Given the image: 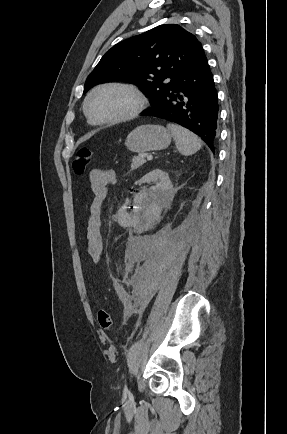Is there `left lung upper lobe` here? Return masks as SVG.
<instances>
[{
	"instance_id": "1",
	"label": "left lung upper lobe",
	"mask_w": 287,
	"mask_h": 434,
	"mask_svg": "<svg viewBox=\"0 0 287 434\" xmlns=\"http://www.w3.org/2000/svg\"><path fill=\"white\" fill-rule=\"evenodd\" d=\"M203 54L193 34L176 24L160 25L108 50L88 76L83 93L99 83L127 81L140 85L153 106L177 74Z\"/></svg>"
}]
</instances>
